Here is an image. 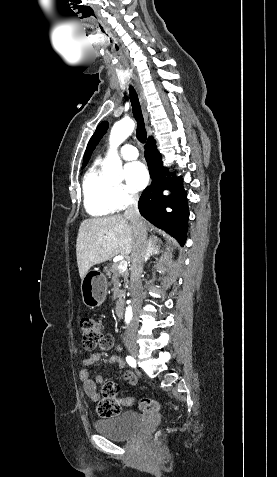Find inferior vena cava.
<instances>
[{"instance_id":"602c4592","label":"inferior vena cava","mask_w":277,"mask_h":477,"mask_svg":"<svg viewBox=\"0 0 277 477\" xmlns=\"http://www.w3.org/2000/svg\"><path fill=\"white\" fill-rule=\"evenodd\" d=\"M138 200V194H131L129 206L124 213V216L131 220L135 239L131 255L132 263L129 287L134 313L125 333L126 339L134 337L139 326L138 315L142 304L141 273L147 249V233L144 228L143 219L139 213Z\"/></svg>"}]
</instances>
